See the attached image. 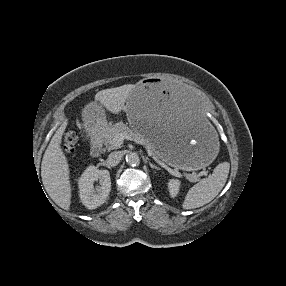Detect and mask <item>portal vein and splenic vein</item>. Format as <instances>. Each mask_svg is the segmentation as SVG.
Here are the masks:
<instances>
[{
	"instance_id": "obj_1",
	"label": "portal vein and splenic vein",
	"mask_w": 286,
	"mask_h": 286,
	"mask_svg": "<svg viewBox=\"0 0 286 286\" xmlns=\"http://www.w3.org/2000/svg\"><path fill=\"white\" fill-rule=\"evenodd\" d=\"M127 139V140H132V138L130 136H127V135H124V134H117L115 136V143L117 145H121L123 143V141ZM149 155H151V153L149 152ZM152 158L157 162L159 163L162 167L166 168L172 175H179V176H182L181 173H179L177 170H174V169H171L169 168L168 166H166L163 162H161L159 159H157L156 157L152 156ZM200 175H204V176H207L208 175V172L207 171H202L200 173Z\"/></svg>"
}]
</instances>
